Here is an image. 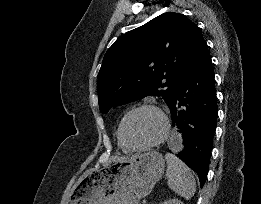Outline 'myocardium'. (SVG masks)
Wrapping results in <instances>:
<instances>
[{
    "instance_id": "f54148a6",
    "label": "myocardium",
    "mask_w": 261,
    "mask_h": 204,
    "mask_svg": "<svg viewBox=\"0 0 261 204\" xmlns=\"http://www.w3.org/2000/svg\"><path fill=\"white\" fill-rule=\"evenodd\" d=\"M144 110L152 111L158 116V118L160 119V122H161V132L156 139H154L153 141H151L149 143H146L144 145H139V146L130 145L125 140L124 134H123L125 122L134 113H137L139 111H144ZM169 130H170V121H169V118H168L167 114L165 113V111L160 106H158L154 103H143V104H140V105H137V106L131 108L129 111H127L125 113V115L122 117V119L120 121L117 135H118V139H119L120 143L129 151H145V150H149L153 147H156L159 144H161L162 142H164L169 134Z\"/></svg>"
}]
</instances>
